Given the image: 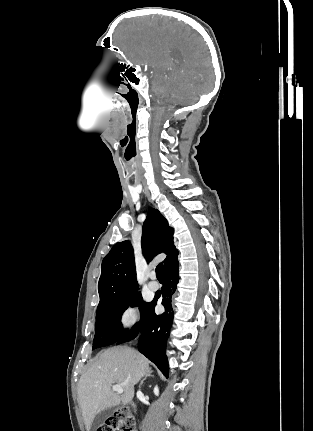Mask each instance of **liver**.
Returning a JSON list of instances; mask_svg holds the SVG:
<instances>
[{
  "label": "liver",
  "instance_id": "6515ba94",
  "mask_svg": "<svg viewBox=\"0 0 313 431\" xmlns=\"http://www.w3.org/2000/svg\"><path fill=\"white\" fill-rule=\"evenodd\" d=\"M149 368L145 356L125 346L103 350L96 356L78 382V401L87 431L100 412L131 402L134 385ZM113 384L122 386V395L112 390Z\"/></svg>",
  "mask_w": 313,
  "mask_h": 431
}]
</instances>
